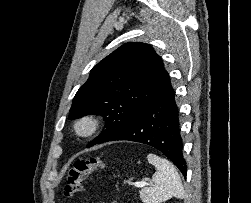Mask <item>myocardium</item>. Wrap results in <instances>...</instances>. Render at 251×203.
<instances>
[{"instance_id": "myocardium-1", "label": "myocardium", "mask_w": 251, "mask_h": 203, "mask_svg": "<svg viewBox=\"0 0 251 203\" xmlns=\"http://www.w3.org/2000/svg\"><path fill=\"white\" fill-rule=\"evenodd\" d=\"M101 127V118L96 114L80 116L73 124L74 133L80 138H88L98 132Z\"/></svg>"}]
</instances>
